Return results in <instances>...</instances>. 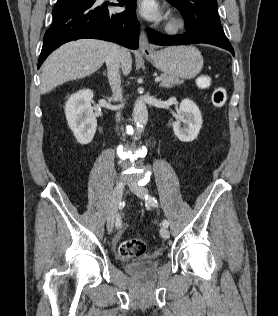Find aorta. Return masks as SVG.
I'll use <instances>...</instances> for the list:
<instances>
[{
  "label": "aorta",
  "instance_id": "aorta-1",
  "mask_svg": "<svg viewBox=\"0 0 278 316\" xmlns=\"http://www.w3.org/2000/svg\"><path fill=\"white\" fill-rule=\"evenodd\" d=\"M133 119L136 123V133L137 135H140L148 121L147 107L142 100H137L134 104Z\"/></svg>",
  "mask_w": 278,
  "mask_h": 316
}]
</instances>
